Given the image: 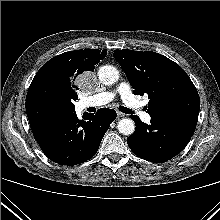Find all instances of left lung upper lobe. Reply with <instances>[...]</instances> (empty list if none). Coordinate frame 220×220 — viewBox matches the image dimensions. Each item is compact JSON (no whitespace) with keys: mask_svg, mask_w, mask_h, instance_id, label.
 <instances>
[{"mask_svg":"<svg viewBox=\"0 0 220 220\" xmlns=\"http://www.w3.org/2000/svg\"><path fill=\"white\" fill-rule=\"evenodd\" d=\"M136 95L148 94V114L197 112L200 99L187 73L169 58L152 51L114 50Z\"/></svg>","mask_w":220,"mask_h":220,"instance_id":"5c2ea615","label":"left lung upper lobe"}]
</instances>
